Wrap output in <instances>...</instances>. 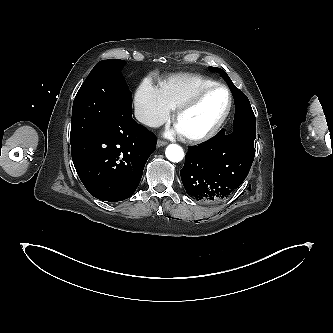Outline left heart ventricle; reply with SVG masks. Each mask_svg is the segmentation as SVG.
<instances>
[{
    "label": "left heart ventricle",
    "mask_w": 333,
    "mask_h": 333,
    "mask_svg": "<svg viewBox=\"0 0 333 333\" xmlns=\"http://www.w3.org/2000/svg\"><path fill=\"white\" fill-rule=\"evenodd\" d=\"M227 104L228 95L224 89L212 90L179 119L177 128L186 135L203 133L219 120Z\"/></svg>",
    "instance_id": "b2bd125f"
}]
</instances>
